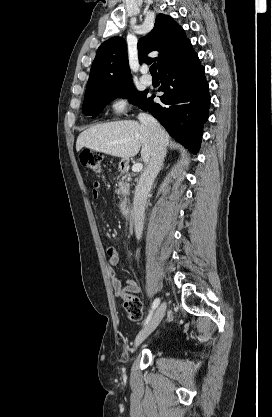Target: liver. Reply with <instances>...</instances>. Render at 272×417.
<instances>
[{
	"instance_id": "1",
	"label": "liver",
	"mask_w": 272,
	"mask_h": 417,
	"mask_svg": "<svg viewBox=\"0 0 272 417\" xmlns=\"http://www.w3.org/2000/svg\"><path fill=\"white\" fill-rule=\"evenodd\" d=\"M165 140L168 145L169 136L166 132ZM83 147L123 159L134 157L142 147L141 157L145 164L149 163L152 150L147 128L131 120L90 127L77 138L76 150L80 151Z\"/></svg>"
}]
</instances>
